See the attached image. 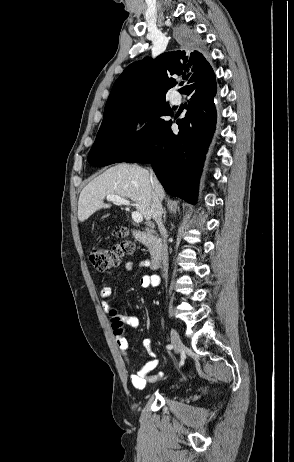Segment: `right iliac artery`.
<instances>
[{
  "label": "right iliac artery",
  "instance_id": "1",
  "mask_svg": "<svg viewBox=\"0 0 294 462\" xmlns=\"http://www.w3.org/2000/svg\"><path fill=\"white\" fill-rule=\"evenodd\" d=\"M172 348H173V346H172V345H170V344H169V345H167V349L171 350Z\"/></svg>",
  "mask_w": 294,
  "mask_h": 462
}]
</instances>
